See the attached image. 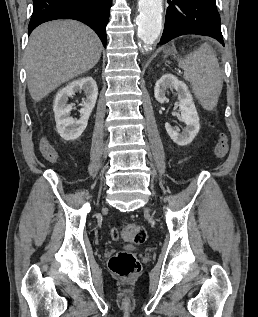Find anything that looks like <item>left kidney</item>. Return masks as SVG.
<instances>
[{"mask_svg":"<svg viewBox=\"0 0 258 317\" xmlns=\"http://www.w3.org/2000/svg\"><path fill=\"white\" fill-rule=\"evenodd\" d=\"M168 88H175L178 92L181 118L186 126H184L182 132H177L169 122H165V128L174 142H177L180 146H186V144L192 142L194 136L199 132L200 122L198 112L187 84L183 80H178L177 76H174L171 72L162 74L161 78L155 84L154 96L158 102H165V94Z\"/></svg>","mask_w":258,"mask_h":317,"instance_id":"1","label":"left kidney"}]
</instances>
